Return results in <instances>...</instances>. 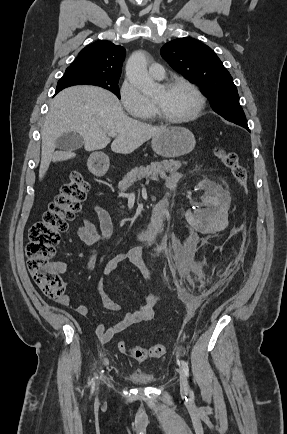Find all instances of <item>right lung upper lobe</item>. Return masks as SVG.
I'll return each instance as SVG.
<instances>
[{
  "label": "right lung upper lobe",
  "instance_id": "obj_1",
  "mask_svg": "<svg viewBox=\"0 0 287 434\" xmlns=\"http://www.w3.org/2000/svg\"><path fill=\"white\" fill-rule=\"evenodd\" d=\"M124 59V47L107 40H100L83 48L66 70L95 77L119 78ZM61 90L57 88L56 93Z\"/></svg>",
  "mask_w": 287,
  "mask_h": 434
}]
</instances>
